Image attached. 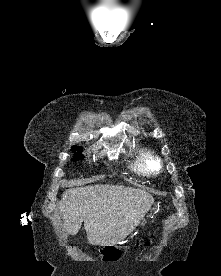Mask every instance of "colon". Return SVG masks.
Here are the masks:
<instances>
[{"label":"colon","instance_id":"obj_1","mask_svg":"<svg viewBox=\"0 0 221 276\" xmlns=\"http://www.w3.org/2000/svg\"><path fill=\"white\" fill-rule=\"evenodd\" d=\"M132 247H141V242H132ZM145 246L149 245V242L144 243ZM130 244H123L121 248L119 246H110V245H103V249L100 251L101 256L106 260V261H116L120 255L121 251H128L130 249Z\"/></svg>","mask_w":221,"mask_h":276}]
</instances>
